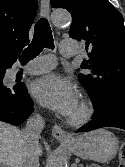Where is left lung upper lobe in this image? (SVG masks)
<instances>
[{"mask_svg":"<svg viewBox=\"0 0 125 167\" xmlns=\"http://www.w3.org/2000/svg\"><path fill=\"white\" fill-rule=\"evenodd\" d=\"M72 15L69 35L86 40L89 60L79 81L96 104L107 93L125 92V26L122 14L108 0H51Z\"/></svg>","mask_w":125,"mask_h":167,"instance_id":"5c2ea615","label":"left lung upper lobe"}]
</instances>
